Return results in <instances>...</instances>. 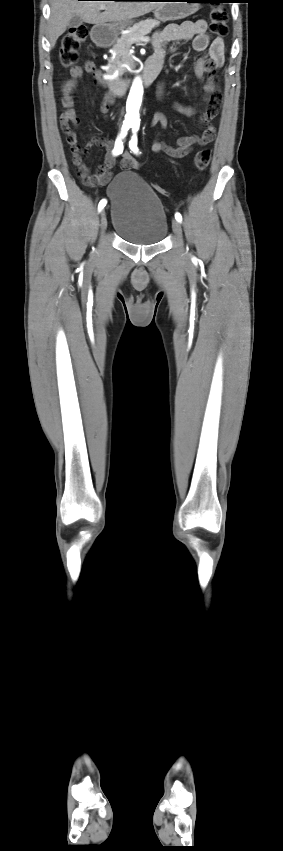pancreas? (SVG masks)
<instances>
[{"label":"pancreas","mask_w":283,"mask_h":851,"mask_svg":"<svg viewBox=\"0 0 283 851\" xmlns=\"http://www.w3.org/2000/svg\"><path fill=\"white\" fill-rule=\"evenodd\" d=\"M159 26L156 20L148 19L135 24L129 33L123 34L113 46L115 58L109 61L108 74H113L118 71V76H122L125 68L122 65L127 61L128 51L136 39L147 37L154 27Z\"/></svg>","instance_id":"cf45deb5"}]
</instances>
